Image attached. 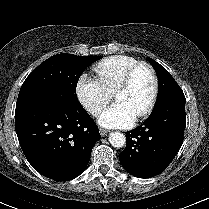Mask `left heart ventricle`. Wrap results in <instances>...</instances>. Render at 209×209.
<instances>
[{"label": "left heart ventricle", "instance_id": "obj_1", "mask_svg": "<svg viewBox=\"0 0 209 209\" xmlns=\"http://www.w3.org/2000/svg\"><path fill=\"white\" fill-rule=\"evenodd\" d=\"M152 91V77L142 69L137 72L129 87L117 93L116 100L124 102L138 116L149 103Z\"/></svg>", "mask_w": 209, "mask_h": 209}]
</instances>
